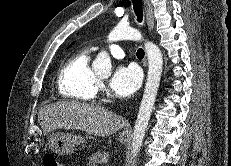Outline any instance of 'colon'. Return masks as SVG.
Segmentation results:
<instances>
[{
	"label": "colon",
	"mask_w": 231,
	"mask_h": 166,
	"mask_svg": "<svg viewBox=\"0 0 231 166\" xmlns=\"http://www.w3.org/2000/svg\"><path fill=\"white\" fill-rule=\"evenodd\" d=\"M44 166H65L54 155H46L44 157Z\"/></svg>",
	"instance_id": "obj_1"
}]
</instances>
